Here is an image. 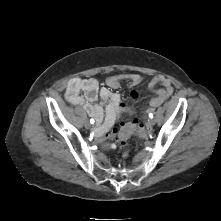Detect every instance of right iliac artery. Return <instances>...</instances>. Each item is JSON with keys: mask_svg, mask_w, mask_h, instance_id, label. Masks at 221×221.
<instances>
[{"mask_svg": "<svg viewBox=\"0 0 221 221\" xmlns=\"http://www.w3.org/2000/svg\"><path fill=\"white\" fill-rule=\"evenodd\" d=\"M94 122H95L94 119H90L91 124H94Z\"/></svg>", "mask_w": 221, "mask_h": 221, "instance_id": "1", "label": "right iliac artery"}]
</instances>
